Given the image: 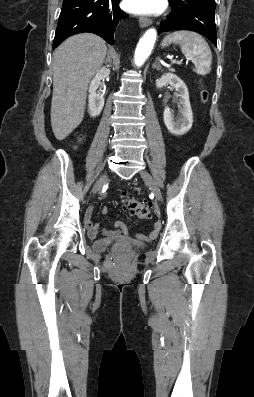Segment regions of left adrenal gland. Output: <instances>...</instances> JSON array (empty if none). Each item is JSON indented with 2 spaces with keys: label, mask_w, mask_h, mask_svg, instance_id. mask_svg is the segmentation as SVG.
<instances>
[{
  "label": "left adrenal gland",
  "mask_w": 254,
  "mask_h": 397,
  "mask_svg": "<svg viewBox=\"0 0 254 397\" xmlns=\"http://www.w3.org/2000/svg\"><path fill=\"white\" fill-rule=\"evenodd\" d=\"M159 59H160V57H157L156 58V61H155V63L152 65V68L153 69H157V70H160L161 69V65H160V63H159Z\"/></svg>",
  "instance_id": "left-adrenal-gland-1"
}]
</instances>
